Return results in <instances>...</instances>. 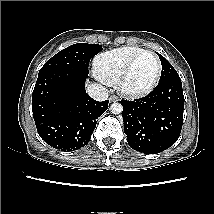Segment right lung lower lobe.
<instances>
[{"label": "right lung lower lobe", "mask_w": 214, "mask_h": 214, "mask_svg": "<svg viewBox=\"0 0 214 214\" xmlns=\"http://www.w3.org/2000/svg\"><path fill=\"white\" fill-rule=\"evenodd\" d=\"M88 75L51 71L38 76L32 111L40 137L61 151H73L90 141L96 121L108 108L85 91Z\"/></svg>", "instance_id": "1"}]
</instances>
